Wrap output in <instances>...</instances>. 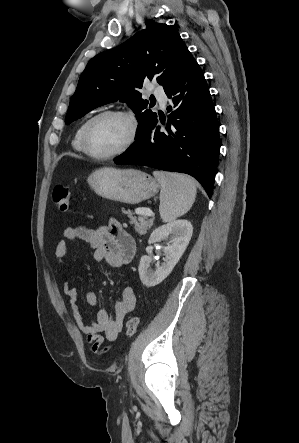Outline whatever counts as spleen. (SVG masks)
<instances>
[{"label":"spleen","mask_w":299,"mask_h":443,"mask_svg":"<svg viewBox=\"0 0 299 443\" xmlns=\"http://www.w3.org/2000/svg\"><path fill=\"white\" fill-rule=\"evenodd\" d=\"M153 175L161 185L160 216L172 222L187 213L196 197L195 182L188 176L155 171Z\"/></svg>","instance_id":"1"}]
</instances>
